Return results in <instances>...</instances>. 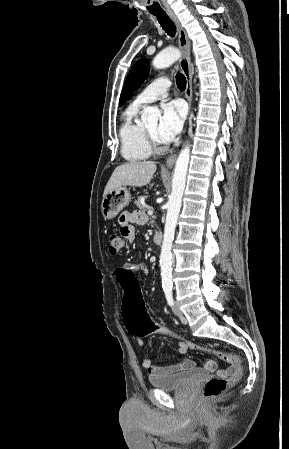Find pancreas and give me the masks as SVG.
Returning a JSON list of instances; mask_svg holds the SVG:
<instances>
[{"mask_svg":"<svg viewBox=\"0 0 289 449\" xmlns=\"http://www.w3.org/2000/svg\"><path fill=\"white\" fill-rule=\"evenodd\" d=\"M147 198V196H140L138 197V199L134 202L136 204V206L141 209V210H145V205L142 203V201H144Z\"/></svg>","mask_w":289,"mask_h":449,"instance_id":"pancreas-1","label":"pancreas"}]
</instances>
